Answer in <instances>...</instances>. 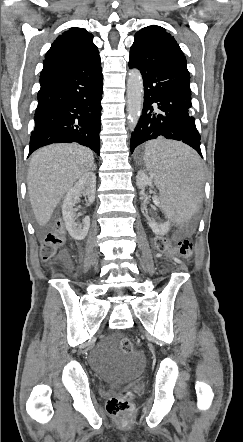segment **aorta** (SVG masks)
I'll return each instance as SVG.
<instances>
[{
  "label": "aorta",
  "instance_id": "762f6f07",
  "mask_svg": "<svg viewBox=\"0 0 243 442\" xmlns=\"http://www.w3.org/2000/svg\"><path fill=\"white\" fill-rule=\"evenodd\" d=\"M143 79L138 69L129 71L127 79V113L131 130L137 126L143 107Z\"/></svg>",
  "mask_w": 243,
  "mask_h": 442
}]
</instances>
